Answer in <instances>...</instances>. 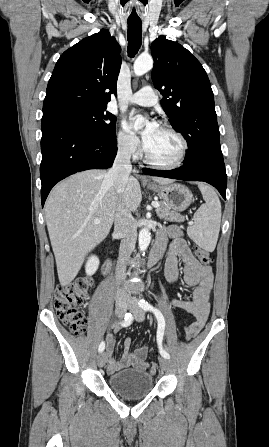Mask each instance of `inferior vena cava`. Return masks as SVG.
Returning a JSON list of instances; mask_svg holds the SVG:
<instances>
[{
    "instance_id": "inferior-vena-cava-1",
    "label": "inferior vena cava",
    "mask_w": 269,
    "mask_h": 447,
    "mask_svg": "<svg viewBox=\"0 0 269 447\" xmlns=\"http://www.w3.org/2000/svg\"><path fill=\"white\" fill-rule=\"evenodd\" d=\"M131 154L132 152H130L129 146H118V152L114 160V164L105 176V180H108V182H112V184H114L116 194L119 198L114 224L115 233L120 235L121 243L115 273L118 281L117 293H123V295H127V293L125 289H120L119 285L121 281H125V261L128 259L129 255H131V251H133L137 239L136 222L132 214H130L129 210L125 208V204H123L121 200L132 170L130 162Z\"/></svg>"
}]
</instances>
